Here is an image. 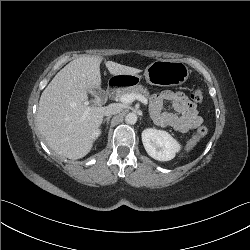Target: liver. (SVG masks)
Masks as SVG:
<instances>
[{"instance_id":"6515ba94","label":"liver","mask_w":250,"mask_h":250,"mask_svg":"<svg viewBox=\"0 0 250 250\" xmlns=\"http://www.w3.org/2000/svg\"><path fill=\"white\" fill-rule=\"evenodd\" d=\"M99 56H83L68 63L41 94L37 124L51 149L69 159L86 156L93 146L106 107L88 106V92L101 88ZM111 75L141 70L113 61L105 63ZM88 110V114L85 112Z\"/></svg>"}]
</instances>
